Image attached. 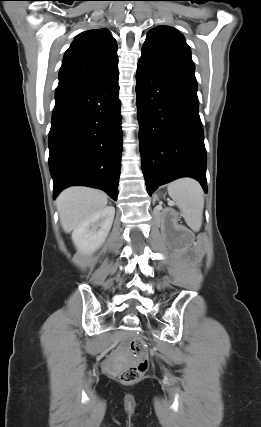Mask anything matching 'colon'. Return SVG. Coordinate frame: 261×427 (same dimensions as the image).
<instances>
[{
  "instance_id": "colon-1",
  "label": "colon",
  "mask_w": 261,
  "mask_h": 427,
  "mask_svg": "<svg viewBox=\"0 0 261 427\" xmlns=\"http://www.w3.org/2000/svg\"><path fill=\"white\" fill-rule=\"evenodd\" d=\"M130 348L137 363L120 373L119 379L124 384L138 382L148 369V347L145 340L141 337L133 338L130 342Z\"/></svg>"
}]
</instances>
